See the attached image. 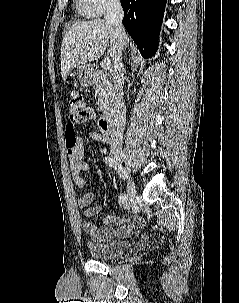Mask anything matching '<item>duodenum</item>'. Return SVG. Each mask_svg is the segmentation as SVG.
Segmentation results:
<instances>
[{
    "label": "duodenum",
    "mask_w": 239,
    "mask_h": 303,
    "mask_svg": "<svg viewBox=\"0 0 239 303\" xmlns=\"http://www.w3.org/2000/svg\"><path fill=\"white\" fill-rule=\"evenodd\" d=\"M100 130L107 135H113L115 130L114 116L111 113L103 115L99 120Z\"/></svg>",
    "instance_id": "410a0bca"
}]
</instances>
